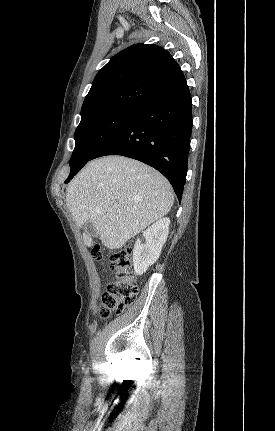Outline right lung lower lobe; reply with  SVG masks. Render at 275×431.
Returning a JSON list of instances; mask_svg holds the SVG:
<instances>
[{"label": "right lung lower lobe", "mask_w": 275, "mask_h": 431, "mask_svg": "<svg viewBox=\"0 0 275 431\" xmlns=\"http://www.w3.org/2000/svg\"><path fill=\"white\" fill-rule=\"evenodd\" d=\"M192 101L186 80L142 105L91 158L122 155L161 172L181 200L192 131ZM68 177V183L74 175Z\"/></svg>", "instance_id": "98d812e1"}]
</instances>
